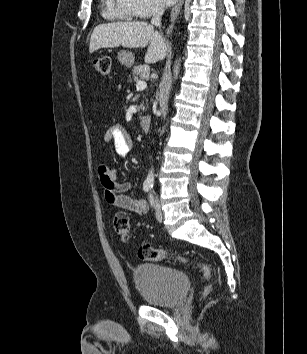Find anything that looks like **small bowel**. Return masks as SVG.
Instances as JSON below:
<instances>
[{"mask_svg":"<svg viewBox=\"0 0 307 354\" xmlns=\"http://www.w3.org/2000/svg\"><path fill=\"white\" fill-rule=\"evenodd\" d=\"M103 139L112 144L119 156H125L133 147V140L128 130L121 124L111 125L104 133ZM98 174L104 191L105 200L118 208L138 214L148 211L147 203L128 194L130 185L118 181V171L107 165L98 167Z\"/></svg>","mask_w":307,"mask_h":354,"instance_id":"small-bowel-1","label":"small bowel"}]
</instances>
